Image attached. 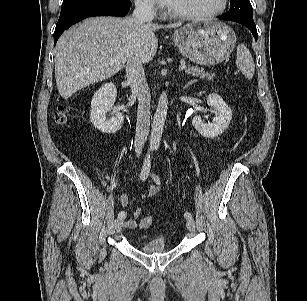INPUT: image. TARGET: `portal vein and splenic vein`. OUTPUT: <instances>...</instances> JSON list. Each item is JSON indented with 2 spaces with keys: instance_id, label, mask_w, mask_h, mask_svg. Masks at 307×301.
<instances>
[{
  "instance_id": "18ae733b",
  "label": "portal vein and splenic vein",
  "mask_w": 307,
  "mask_h": 301,
  "mask_svg": "<svg viewBox=\"0 0 307 301\" xmlns=\"http://www.w3.org/2000/svg\"><path fill=\"white\" fill-rule=\"evenodd\" d=\"M186 68H187V67H186V65H184V64H182V65L179 66V70H180V71L186 70Z\"/></svg>"
}]
</instances>
